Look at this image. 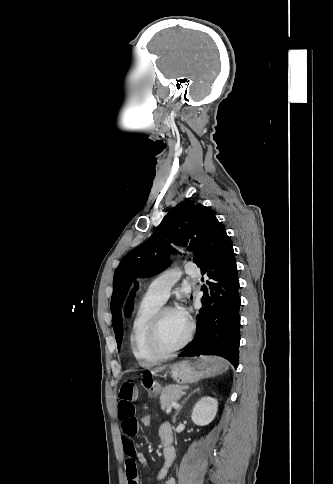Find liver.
Here are the masks:
<instances>
[{
    "instance_id": "6515ba94",
    "label": "liver",
    "mask_w": 333,
    "mask_h": 484,
    "mask_svg": "<svg viewBox=\"0 0 333 484\" xmlns=\"http://www.w3.org/2000/svg\"><path fill=\"white\" fill-rule=\"evenodd\" d=\"M167 366H158L154 369L155 372H161L163 371Z\"/></svg>"
}]
</instances>
